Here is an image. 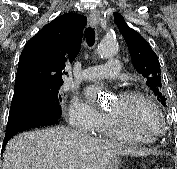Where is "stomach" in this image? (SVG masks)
I'll list each match as a JSON object with an SVG mask.
<instances>
[{"mask_svg":"<svg viewBox=\"0 0 177 169\" xmlns=\"http://www.w3.org/2000/svg\"><path fill=\"white\" fill-rule=\"evenodd\" d=\"M120 159L116 157L106 169H119Z\"/></svg>","mask_w":177,"mask_h":169,"instance_id":"1","label":"stomach"}]
</instances>
